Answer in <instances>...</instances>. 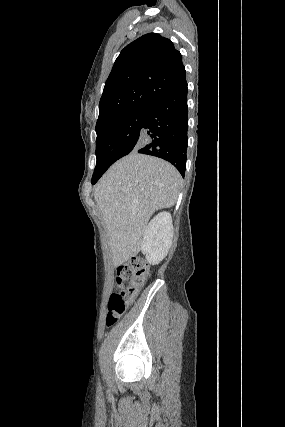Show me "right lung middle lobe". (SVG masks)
<instances>
[{
  "label": "right lung middle lobe",
  "mask_w": 285,
  "mask_h": 427,
  "mask_svg": "<svg viewBox=\"0 0 285 427\" xmlns=\"http://www.w3.org/2000/svg\"><path fill=\"white\" fill-rule=\"evenodd\" d=\"M146 107L118 115L96 126V167L93 176L105 172L115 161L136 149Z\"/></svg>",
  "instance_id": "dd1d6c3e"
}]
</instances>
